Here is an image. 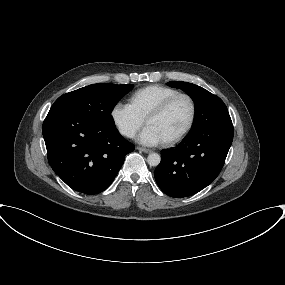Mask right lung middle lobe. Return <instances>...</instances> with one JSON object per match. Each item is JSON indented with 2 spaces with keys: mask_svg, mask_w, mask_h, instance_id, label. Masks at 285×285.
<instances>
[{
  "mask_svg": "<svg viewBox=\"0 0 285 285\" xmlns=\"http://www.w3.org/2000/svg\"><path fill=\"white\" fill-rule=\"evenodd\" d=\"M134 85L93 84L66 93L52 107L72 110L101 126L115 127L111 112Z\"/></svg>",
  "mask_w": 285,
  "mask_h": 285,
  "instance_id": "obj_1",
  "label": "right lung middle lobe"
}]
</instances>
